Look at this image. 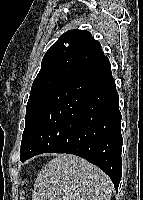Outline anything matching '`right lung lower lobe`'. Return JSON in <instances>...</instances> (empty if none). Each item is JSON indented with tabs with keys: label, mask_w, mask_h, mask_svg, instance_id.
<instances>
[{
	"label": "right lung lower lobe",
	"mask_w": 143,
	"mask_h": 200,
	"mask_svg": "<svg viewBox=\"0 0 143 200\" xmlns=\"http://www.w3.org/2000/svg\"><path fill=\"white\" fill-rule=\"evenodd\" d=\"M119 96L104 57L67 76L41 104L21 142L22 162L41 153L78 155L118 186L122 176Z\"/></svg>",
	"instance_id": "obj_1"
}]
</instances>
